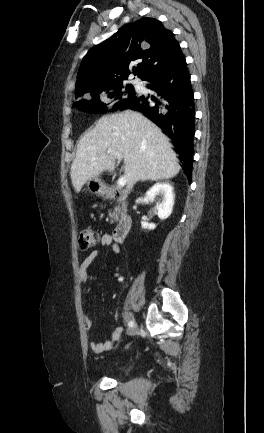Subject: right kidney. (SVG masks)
<instances>
[{
    "mask_svg": "<svg viewBox=\"0 0 264 433\" xmlns=\"http://www.w3.org/2000/svg\"><path fill=\"white\" fill-rule=\"evenodd\" d=\"M160 195L162 197V202L157 203L158 217L162 220L167 219L173 210L174 205V194L173 187L168 182L156 183L150 190L147 191L146 197L149 200H154L155 197ZM144 229H155L156 225L154 223H147L145 221L141 222Z\"/></svg>",
    "mask_w": 264,
    "mask_h": 433,
    "instance_id": "obj_1",
    "label": "right kidney"
}]
</instances>
